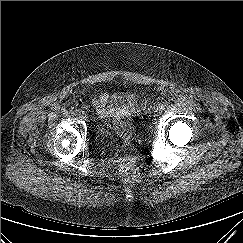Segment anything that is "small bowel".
Returning a JSON list of instances; mask_svg holds the SVG:
<instances>
[{
    "label": "small bowel",
    "mask_w": 243,
    "mask_h": 243,
    "mask_svg": "<svg viewBox=\"0 0 243 243\" xmlns=\"http://www.w3.org/2000/svg\"><path fill=\"white\" fill-rule=\"evenodd\" d=\"M92 105L101 119L119 122L132 114L137 107V100L132 94H110L104 91L92 100Z\"/></svg>",
    "instance_id": "obj_1"
}]
</instances>
